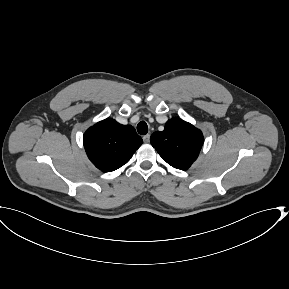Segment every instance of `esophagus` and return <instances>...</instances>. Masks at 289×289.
Wrapping results in <instances>:
<instances>
[{"mask_svg":"<svg viewBox=\"0 0 289 289\" xmlns=\"http://www.w3.org/2000/svg\"><path fill=\"white\" fill-rule=\"evenodd\" d=\"M143 141H144L145 143H148V142L150 141V134L144 135V136H143Z\"/></svg>","mask_w":289,"mask_h":289,"instance_id":"obj_1","label":"esophagus"}]
</instances>
